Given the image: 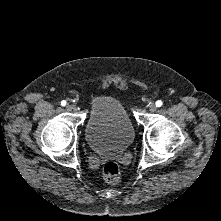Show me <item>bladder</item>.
Returning <instances> with one entry per match:
<instances>
[{
	"mask_svg": "<svg viewBox=\"0 0 221 221\" xmlns=\"http://www.w3.org/2000/svg\"><path fill=\"white\" fill-rule=\"evenodd\" d=\"M134 137V127L122 103L113 96L97 97L85 126L87 144L99 152L120 153Z\"/></svg>",
	"mask_w": 221,
	"mask_h": 221,
	"instance_id": "bladder-1",
	"label": "bladder"
}]
</instances>
